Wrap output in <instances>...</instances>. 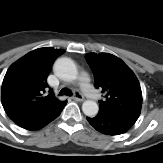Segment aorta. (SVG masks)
<instances>
[{
  "label": "aorta",
  "instance_id": "762f6f07",
  "mask_svg": "<svg viewBox=\"0 0 163 163\" xmlns=\"http://www.w3.org/2000/svg\"><path fill=\"white\" fill-rule=\"evenodd\" d=\"M55 74L64 81L72 82L78 77L76 65L70 59H60L54 66ZM82 110L85 115L93 117L98 113L99 107L95 101L87 100L82 104Z\"/></svg>",
  "mask_w": 163,
  "mask_h": 163
}]
</instances>
